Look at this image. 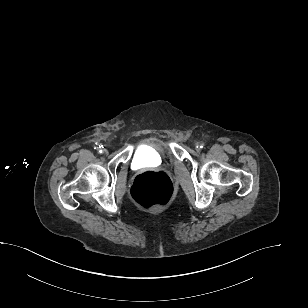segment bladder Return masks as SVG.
I'll return each instance as SVG.
<instances>
[{
  "instance_id": "obj_1",
  "label": "bladder",
  "mask_w": 308,
  "mask_h": 308,
  "mask_svg": "<svg viewBox=\"0 0 308 308\" xmlns=\"http://www.w3.org/2000/svg\"><path fill=\"white\" fill-rule=\"evenodd\" d=\"M164 160V151L163 148L147 143L140 146L134 155L133 162L141 167L149 166L152 164L158 165L161 164Z\"/></svg>"
}]
</instances>
